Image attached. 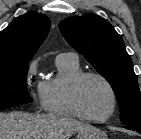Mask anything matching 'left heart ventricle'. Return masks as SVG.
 <instances>
[{"label":"left heart ventricle","mask_w":141,"mask_h":139,"mask_svg":"<svg viewBox=\"0 0 141 139\" xmlns=\"http://www.w3.org/2000/svg\"><path fill=\"white\" fill-rule=\"evenodd\" d=\"M79 100L83 111L90 117L101 118L111 109V94L97 78H87L80 86Z\"/></svg>","instance_id":"1"}]
</instances>
